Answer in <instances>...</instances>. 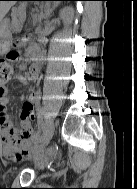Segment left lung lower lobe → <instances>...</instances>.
I'll list each match as a JSON object with an SVG mask.
<instances>
[{
  "instance_id": "obj_1",
  "label": "left lung lower lobe",
  "mask_w": 137,
  "mask_h": 189,
  "mask_svg": "<svg viewBox=\"0 0 137 189\" xmlns=\"http://www.w3.org/2000/svg\"><path fill=\"white\" fill-rule=\"evenodd\" d=\"M64 1H78V0H64Z\"/></svg>"
}]
</instances>
